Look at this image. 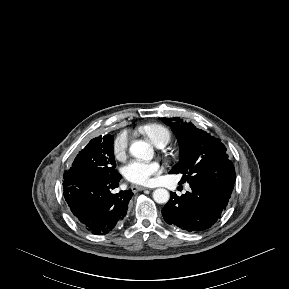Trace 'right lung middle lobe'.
Segmentation results:
<instances>
[{
  "instance_id": "obj_1",
  "label": "right lung middle lobe",
  "mask_w": 289,
  "mask_h": 289,
  "mask_svg": "<svg viewBox=\"0 0 289 289\" xmlns=\"http://www.w3.org/2000/svg\"><path fill=\"white\" fill-rule=\"evenodd\" d=\"M113 142L110 134L92 139L76 156L69 171L88 177H105L114 173Z\"/></svg>"
}]
</instances>
